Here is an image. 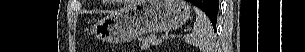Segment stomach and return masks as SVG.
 <instances>
[{
  "label": "stomach",
  "mask_w": 305,
  "mask_h": 52,
  "mask_svg": "<svg viewBox=\"0 0 305 52\" xmlns=\"http://www.w3.org/2000/svg\"><path fill=\"white\" fill-rule=\"evenodd\" d=\"M189 17L184 0H141L98 21L91 33L105 42H129L145 33L178 29Z\"/></svg>",
  "instance_id": "1"
}]
</instances>
